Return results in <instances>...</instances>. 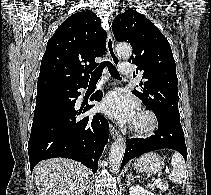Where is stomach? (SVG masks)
Masks as SVG:
<instances>
[{
  "label": "stomach",
  "mask_w": 211,
  "mask_h": 195,
  "mask_svg": "<svg viewBox=\"0 0 211 195\" xmlns=\"http://www.w3.org/2000/svg\"><path fill=\"white\" fill-rule=\"evenodd\" d=\"M132 166L134 170L139 172L157 174L164 168V160L155 152H149L137 158Z\"/></svg>",
  "instance_id": "stomach-1"
}]
</instances>
